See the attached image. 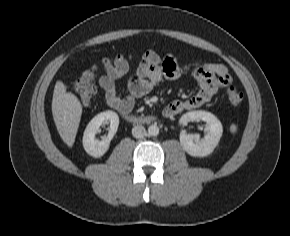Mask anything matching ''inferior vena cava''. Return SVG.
<instances>
[{
  "label": "inferior vena cava",
  "instance_id": "1",
  "mask_svg": "<svg viewBox=\"0 0 290 236\" xmlns=\"http://www.w3.org/2000/svg\"><path fill=\"white\" fill-rule=\"evenodd\" d=\"M132 135L135 138H143L146 135V129L142 125H137L132 128Z\"/></svg>",
  "mask_w": 290,
  "mask_h": 236
}]
</instances>
